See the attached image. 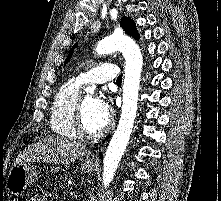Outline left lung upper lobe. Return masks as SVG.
<instances>
[{
  "label": "left lung upper lobe",
  "mask_w": 221,
  "mask_h": 201,
  "mask_svg": "<svg viewBox=\"0 0 221 201\" xmlns=\"http://www.w3.org/2000/svg\"><path fill=\"white\" fill-rule=\"evenodd\" d=\"M120 25L121 27L124 29V31L132 36L133 38H135L136 40H139V34H138V31L136 29V26H135V22L130 19L129 17H123L120 21ZM76 47V45H74L71 49V51L69 52V55L68 57L66 58V61H65V64L67 63V61L70 60L71 56H72V52L74 50V48ZM64 64V65H65Z\"/></svg>",
  "instance_id": "obj_1"
}]
</instances>
